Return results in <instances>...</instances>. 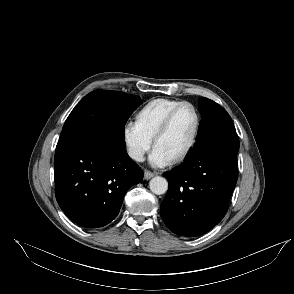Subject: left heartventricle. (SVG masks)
I'll use <instances>...</instances> for the list:
<instances>
[{"instance_id":"b2bd125f","label":"left heart ventricle","mask_w":294,"mask_h":294,"mask_svg":"<svg viewBox=\"0 0 294 294\" xmlns=\"http://www.w3.org/2000/svg\"><path fill=\"white\" fill-rule=\"evenodd\" d=\"M196 125L195 115L190 107L181 108L175 115L167 132L157 141L155 147L171 160L180 155L189 144Z\"/></svg>"}]
</instances>
